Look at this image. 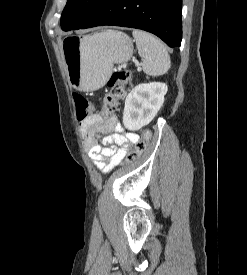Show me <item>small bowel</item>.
Wrapping results in <instances>:
<instances>
[{
  "instance_id": "small-bowel-1",
  "label": "small bowel",
  "mask_w": 247,
  "mask_h": 275,
  "mask_svg": "<svg viewBox=\"0 0 247 275\" xmlns=\"http://www.w3.org/2000/svg\"><path fill=\"white\" fill-rule=\"evenodd\" d=\"M85 147L94 163L103 173L115 168L138 142L135 132L124 131L116 116L104 119L100 114H92L81 126ZM105 135L99 143L97 137Z\"/></svg>"
}]
</instances>
